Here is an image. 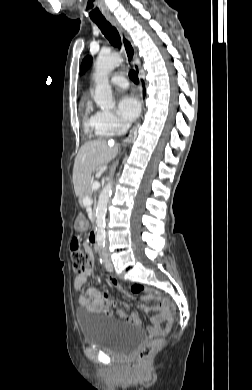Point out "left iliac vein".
<instances>
[{
	"mask_svg": "<svg viewBox=\"0 0 252 390\" xmlns=\"http://www.w3.org/2000/svg\"><path fill=\"white\" fill-rule=\"evenodd\" d=\"M105 267H106L107 271H109V272L113 271L112 261L110 260V258L107 255H105Z\"/></svg>",
	"mask_w": 252,
	"mask_h": 390,
	"instance_id": "4c4485c4",
	"label": "left iliac vein"
}]
</instances>
